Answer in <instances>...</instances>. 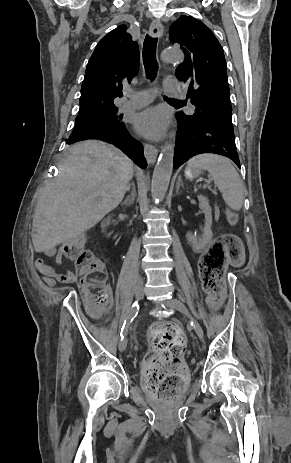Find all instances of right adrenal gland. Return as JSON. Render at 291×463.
Instances as JSON below:
<instances>
[{
	"mask_svg": "<svg viewBox=\"0 0 291 463\" xmlns=\"http://www.w3.org/2000/svg\"><path fill=\"white\" fill-rule=\"evenodd\" d=\"M135 197H136V191H135V188L133 187L131 196L127 197L126 200H124V202L122 203V205L130 206L131 204L134 203Z\"/></svg>",
	"mask_w": 291,
	"mask_h": 463,
	"instance_id": "2a0ac1e0",
	"label": "right adrenal gland"
}]
</instances>
